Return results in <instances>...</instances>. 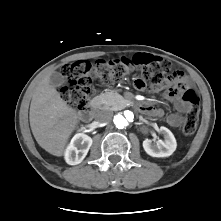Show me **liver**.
<instances>
[{
    "mask_svg": "<svg viewBox=\"0 0 221 221\" xmlns=\"http://www.w3.org/2000/svg\"><path fill=\"white\" fill-rule=\"evenodd\" d=\"M51 73L35 87L30 104V127L37 143L48 153L62 156L80 114L64 101L50 84Z\"/></svg>",
    "mask_w": 221,
    "mask_h": 221,
    "instance_id": "6515ba94",
    "label": "liver"
}]
</instances>
